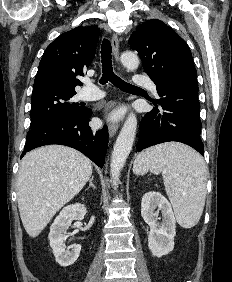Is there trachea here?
Listing matches in <instances>:
<instances>
[{"instance_id":"trachea-1","label":"trachea","mask_w":232,"mask_h":282,"mask_svg":"<svg viewBox=\"0 0 232 282\" xmlns=\"http://www.w3.org/2000/svg\"><path fill=\"white\" fill-rule=\"evenodd\" d=\"M101 58H102L101 62H102V73H103L100 79L101 84H105L109 81L114 86L118 87L119 89L123 91L138 89V87L125 82L120 77L115 75V73L113 72L111 43L108 39L103 40V43L101 46Z\"/></svg>"}]
</instances>
